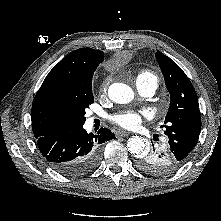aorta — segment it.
<instances>
[{
	"label": "aorta",
	"instance_id": "1",
	"mask_svg": "<svg viewBox=\"0 0 221 221\" xmlns=\"http://www.w3.org/2000/svg\"><path fill=\"white\" fill-rule=\"evenodd\" d=\"M109 98L119 104H127L132 101L134 92L126 84L113 83L108 89ZM128 151L136 158H142L149 152L146 140L140 136H133L127 142Z\"/></svg>",
	"mask_w": 221,
	"mask_h": 221
}]
</instances>
